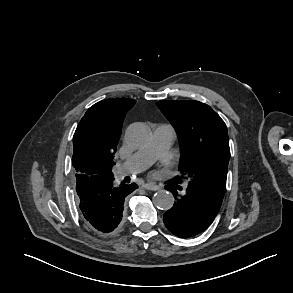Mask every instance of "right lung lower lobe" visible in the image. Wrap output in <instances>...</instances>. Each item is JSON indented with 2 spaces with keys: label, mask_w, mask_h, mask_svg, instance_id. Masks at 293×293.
I'll return each mask as SVG.
<instances>
[{
  "label": "right lung lower lobe",
  "mask_w": 293,
  "mask_h": 293,
  "mask_svg": "<svg viewBox=\"0 0 293 293\" xmlns=\"http://www.w3.org/2000/svg\"><path fill=\"white\" fill-rule=\"evenodd\" d=\"M113 175L76 174V193L85 225L98 235H112L123 225L124 202L138 186L135 183L115 187Z\"/></svg>",
  "instance_id": "obj_1"
}]
</instances>
